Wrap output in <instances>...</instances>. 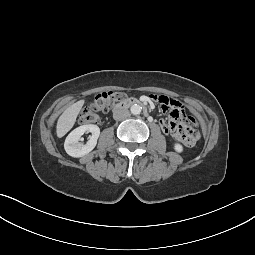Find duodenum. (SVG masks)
Returning a JSON list of instances; mask_svg holds the SVG:
<instances>
[{
    "mask_svg": "<svg viewBox=\"0 0 255 255\" xmlns=\"http://www.w3.org/2000/svg\"><path fill=\"white\" fill-rule=\"evenodd\" d=\"M131 106H145L144 102L138 98L128 97L123 99L122 101L118 102L114 107L113 110H120L123 108L131 107ZM147 113V110L145 109Z\"/></svg>",
    "mask_w": 255,
    "mask_h": 255,
    "instance_id": "410a0bca",
    "label": "duodenum"
}]
</instances>
